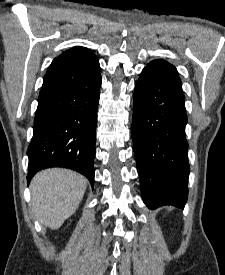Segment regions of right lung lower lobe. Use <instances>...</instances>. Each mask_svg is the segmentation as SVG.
I'll list each match as a JSON object with an SVG mask.
<instances>
[{
  "mask_svg": "<svg viewBox=\"0 0 225 275\" xmlns=\"http://www.w3.org/2000/svg\"><path fill=\"white\" fill-rule=\"evenodd\" d=\"M101 76L93 86L38 98L34 133L28 146L27 181L41 169L65 167L93 185L97 107Z\"/></svg>",
  "mask_w": 225,
  "mask_h": 275,
  "instance_id": "98d812e1",
  "label": "right lung lower lobe"
}]
</instances>
